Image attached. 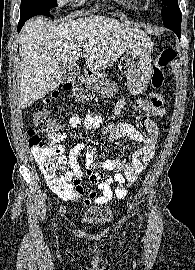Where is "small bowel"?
Here are the masks:
<instances>
[{"mask_svg": "<svg viewBox=\"0 0 195 270\" xmlns=\"http://www.w3.org/2000/svg\"><path fill=\"white\" fill-rule=\"evenodd\" d=\"M142 103V99L136 100V105ZM126 104V99H120L115 105L113 112L109 118L108 123L102 127V134L109 141H116L122 138H128L137 144L131 161L128 162L123 158L107 159L102 162H94L95 147L86 145L82 142L75 144L69 151V175L73 179L72 190L68 194L59 195L66 201H76L84 194V176L88 177L89 183L95 185L101 192L98 196L93 189L88 191L87 197L83 201L84 206H89L92 203L106 204L113 197L122 199L126 196L127 190L124 187L125 181H135L140 173L147 167L152 160L156 143L159 135V128L157 123L148 116L140 118L141 126L148 132V136H144L135 127L125 122L117 120ZM154 116H164L166 111L163 106L156 107L150 111H145ZM69 125L72 128L84 127L86 130H96L103 124V118L98 113L88 112L83 117L73 114L68 118ZM66 132H60L51 138L53 143H61L65 140ZM82 151L86 152V169L85 171L80 167L79 155ZM96 169L113 172V176H105ZM116 184L115 189L112 184Z\"/></svg>", "mask_w": 195, "mask_h": 270, "instance_id": "obj_1", "label": "small bowel"}]
</instances>
